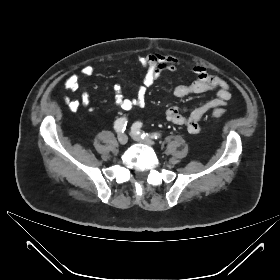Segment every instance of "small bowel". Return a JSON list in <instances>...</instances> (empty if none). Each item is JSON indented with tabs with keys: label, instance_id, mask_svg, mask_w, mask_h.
Listing matches in <instances>:
<instances>
[{
	"label": "small bowel",
	"instance_id": "1",
	"mask_svg": "<svg viewBox=\"0 0 280 280\" xmlns=\"http://www.w3.org/2000/svg\"><path fill=\"white\" fill-rule=\"evenodd\" d=\"M139 62L144 68L145 73L141 84L137 88L136 95L132 98L124 97L120 86L114 87V98L116 105L123 111H129L134 107L144 105L146 101L147 89L165 72H175L178 69L179 61L170 56L160 53H149L139 56ZM195 80L190 84H179L174 88V95L182 98L192 94H201L209 91H215V98L195 107L189 113L185 109L177 106L166 110L167 120L174 124L183 125L192 134L200 132V121L203 116L216 109H222L227 105L231 98L229 83L217 75L207 72L201 65L192 67ZM94 67L90 64L84 65L81 74L85 77H91L94 74ZM80 79L77 74H72L66 79V84L71 91H77ZM90 104L89 94L86 91L81 93L80 99H72L67 102L70 110L78 111L81 108H87Z\"/></svg>",
	"mask_w": 280,
	"mask_h": 280
}]
</instances>
